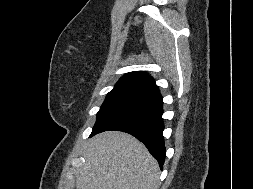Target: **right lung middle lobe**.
Listing matches in <instances>:
<instances>
[{"label":"right lung middle lobe","mask_w":253,"mask_h":189,"mask_svg":"<svg viewBox=\"0 0 253 189\" xmlns=\"http://www.w3.org/2000/svg\"><path fill=\"white\" fill-rule=\"evenodd\" d=\"M147 95L146 92L134 89L118 88L113 89L107 94V97L97 113L96 124H99L103 119L113 112L140 100Z\"/></svg>","instance_id":"obj_1"}]
</instances>
